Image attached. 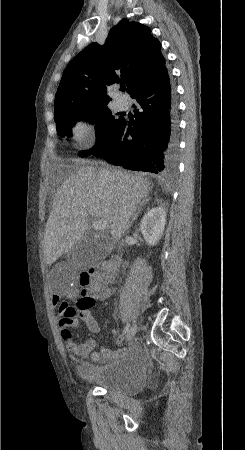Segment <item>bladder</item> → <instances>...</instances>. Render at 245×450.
I'll return each mask as SVG.
<instances>
[{
	"label": "bladder",
	"mask_w": 245,
	"mask_h": 450,
	"mask_svg": "<svg viewBox=\"0 0 245 450\" xmlns=\"http://www.w3.org/2000/svg\"><path fill=\"white\" fill-rule=\"evenodd\" d=\"M78 368L83 383L124 396L138 394L147 377L143 361L131 357L83 362L78 364Z\"/></svg>",
	"instance_id": "31cf9c89"
}]
</instances>
